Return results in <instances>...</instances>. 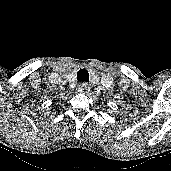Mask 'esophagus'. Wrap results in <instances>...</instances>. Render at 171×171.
I'll return each mask as SVG.
<instances>
[{
	"label": "esophagus",
	"mask_w": 171,
	"mask_h": 171,
	"mask_svg": "<svg viewBox=\"0 0 171 171\" xmlns=\"http://www.w3.org/2000/svg\"><path fill=\"white\" fill-rule=\"evenodd\" d=\"M90 87L86 82H82L78 85V92L80 93H87L89 91Z\"/></svg>",
	"instance_id": "1"
}]
</instances>
